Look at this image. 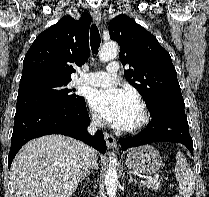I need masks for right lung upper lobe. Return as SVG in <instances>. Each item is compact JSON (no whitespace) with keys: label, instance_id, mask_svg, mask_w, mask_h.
Here are the masks:
<instances>
[{"label":"right lung upper lobe","instance_id":"right-lung-upper-lobe-1","mask_svg":"<svg viewBox=\"0 0 209 197\" xmlns=\"http://www.w3.org/2000/svg\"><path fill=\"white\" fill-rule=\"evenodd\" d=\"M91 16L83 12L76 21L71 16L42 32L25 55L20 85L42 80H71L74 66L90 55Z\"/></svg>","mask_w":209,"mask_h":197}]
</instances>
